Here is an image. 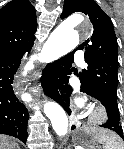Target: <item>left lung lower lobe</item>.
I'll list each match as a JSON object with an SVG mask.
<instances>
[{
    "label": "left lung lower lobe",
    "instance_id": "1",
    "mask_svg": "<svg viewBox=\"0 0 124 149\" xmlns=\"http://www.w3.org/2000/svg\"><path fill=\"white\" fill-rule=\"evenodd\" d=\"M74 51L64 57L46 65L42 72L41 83L48 97L58 102L69 114L68 95L71 93L68 83L69 75H71ZM81 91L91 97L99 100L107 110L108 120L102 127L112 130L118 134L123 140V130L120 123L119 109L117 99L109 92L87 85L82 82ZM76 126H72V130Z\"/></svg>",
    "mask_w": 124,
    "mask_h": 149
}]
</instances>
